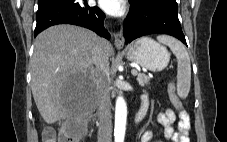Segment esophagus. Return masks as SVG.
<instances>
[{"instance_id":"1","label":"esophagus","mask_w":227,"mask_h":142,"mask_svg":"<svg viewBox=\"0 0 227 142\" xmlns=\"http://www.w3.org/2000/svg\"><path fill=\"white\" fill-rule=\"evenodd\" d=\"M114 44L117 49H122L124 46V38L121 32L114 34Z\"/></svg>"}]
</instances>
